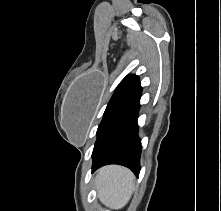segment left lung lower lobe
Listing matches in <instances>:
<instances>
[{
  "label": "left lung lower lobe",
  "mask_w": 221,
  "mask_h": 211,
  "mask_svg": "<svg viewBox=\"0 0 221 211\" xmlns=\"http://www.w3.org/2000/svg\"><path fill=\"white\" fill-rule=\"evenodd\" d=\"M140 95L110 121L97 139L92 153V171L103 165L119 164L139 175L142 146L137 135V118Z\"/></svg>",
  "instance_id": "obj_1"
}]
</instances>
